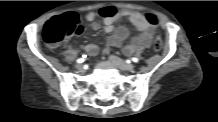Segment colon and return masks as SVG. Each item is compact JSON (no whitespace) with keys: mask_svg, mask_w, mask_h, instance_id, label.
I'll list each match as a JSON object with an SVG mask.
<instances>
[{"mask_svg":"<svg viewBox=\"0 0 218 122\" xmlns=\"http://www.w3.org/2000/svg\"><path fill=\"white\" fill-rule=\"evenodd\" d=\"M146 17L150 24L157 25L158 20L155 15L148 14ZM82 31L83 26L79 15L75 12H68L56 16L46 23L43 30V38L49 46L55 47L63 40L81 34ZM153 47L156 51H159L162 47L158 36L154 38Z\"/></svg>","mask_w":218,"mask_h":122,"instance_id":"5ec220e1","label":"colon"}]
</instances>
